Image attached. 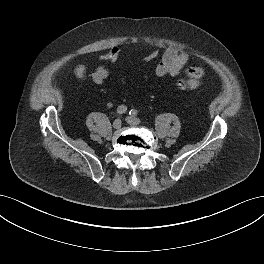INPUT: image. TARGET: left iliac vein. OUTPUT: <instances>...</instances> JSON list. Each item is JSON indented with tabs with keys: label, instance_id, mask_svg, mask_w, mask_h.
<instances>
[{
	"label": "left iliac vein",
	"instance_id": "obj_1",
	"mask_svg": "<svg viewBox=\"0 0 264 264\" xmlns=\"http://www.w3.org/2000/svg\"><path fill=\"white\" fill-rule=\"evenodd\" d=\"M126 121L128 122V124L130 125H138L140 123V119L133 117V116H129L126 118Z\"/></svg>",
	"mask_w": 264,
	"mask_h": 264
}]
</instances>
